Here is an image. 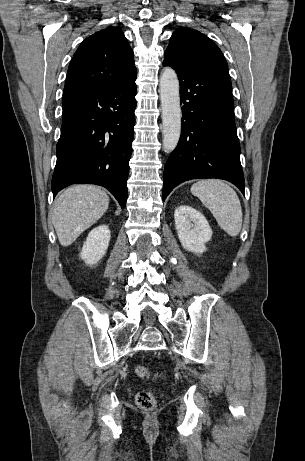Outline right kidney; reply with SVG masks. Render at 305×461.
<instances>
[{
  "mask_svg": "<svg viewBox=\"0 0 305 461\" xmlns=\"http://www.w3.org/2000/svg\"><path fill=\"white\" fill-rule=\"evenodd\" d=\"M110 237V230L106 225H100L88 234L80 253L86 264H96L106 254Z\"/></svg>",
  "mask_w": 305,
  "mask_h": 461,
  "instance_id": "obj_1",
  "label": "right kidney"
}]
</instances>
